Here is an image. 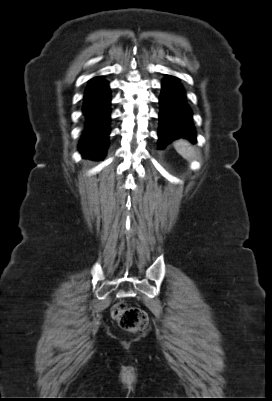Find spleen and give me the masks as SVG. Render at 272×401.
I'll return each instance as SVG.
<instances>
[{"instance_id": "obj_1", "label": "spleen", "mask_w": 272, "mask_h": 401, "mask_svg": "<svg viewBox=\"0 0 272 401\" xmlns=\"http://www.w3.org/2000/svg\"><path fill=\"white\" fill-rule=\"evenodd\" d=\"M174 147L183 158L190 160L194 157V149L188 141L179 139L174 142Z\"/></svg>"}]
</instances>
